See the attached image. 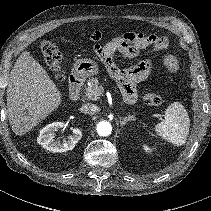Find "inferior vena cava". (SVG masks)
I'll use <instances>...</instances> for the list:
<instances>
[{
  "label": "inferior vena cava",
  "mask_w": 211,
  "mask_h": 211,
  "mask_svg": "<svg viewBox=\"0 0 211 211\" xmlns=\"http://www.w3.org/2000/svg\"><path fill=\"white\" fill-rule=\"evenodd\" d=\"M81 111L85 114H95L98 111V107L88 103L82 106Z\"/></svg>",
  "instance_id": "obj_1"
}]
</instances>
